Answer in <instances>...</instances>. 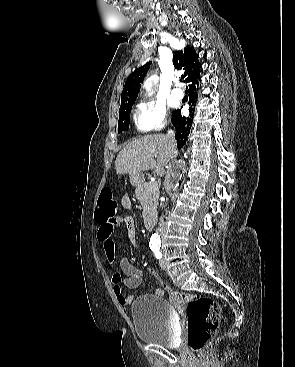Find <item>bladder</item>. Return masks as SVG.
Masks as SVG:
<instances>
[{"instance_id":"obj_1","label":"bladder","mask_w":295,"mask_h":367,"mask_svg":"<svg viewBox=\"0 0 295 367\" xmlns=\"http://www.w3.org/2000/svg\"><path fill=\"white\" fill-rule=\"evenodd\" d=\"M132 321L141 341L163 347L175 345L173 308L165 298L155 294L138 297L132 305Z\"/></svg>"}]
</instances>
